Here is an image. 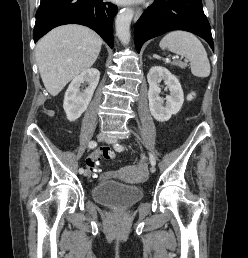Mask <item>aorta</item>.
Instances as JSON below:
<instances>
[{"label": "aorta", "mask_w": 248, "mask_h": 258, "mask_svg": "<svg viewBox=\"0 0 248 258\" xmlns=\"http://www.w3.org/2000/svg\"><path fill=\"white\" fill-rule=\"evenodd\" d=\"M133 15L134 11L131 8H125L117 15L115 21L116 35L123 44H128L130 41V24Z\"/></svg>", "instance_id": "1"}]
</instances>
